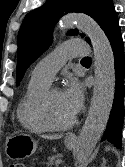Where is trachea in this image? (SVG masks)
Here are the masks:
<instances>
[{"mask_svg": "<svg viewBox=\"0 0 125 167\" xmlns=\"http://www.w3.org/2000/svg\"><path fill=\"white\" fill-rule=\"evenodd\" d=\"M81 62H91V58L90 57H85L81 60Z\"/></svg>", "mask_w": 125, "mask_h": 167, "instance_id": "trachea-1", "label": "trachea"}]
</instances>
